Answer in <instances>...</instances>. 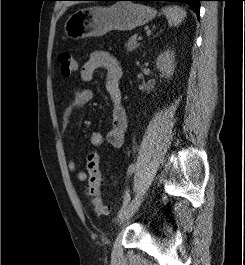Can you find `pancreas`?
<instances>
[{"instance_id": "1", "label": "pancreas", "mask_w": 245, "mask_h": 265, "mask_svg": "<svg viewBox=\"0 0 245 265\" xmlns=\"http://www.w3.org/2000/svg\"><path fill=\"white\" fill-rule=\"evenodd\" d=\"M125 47L127 49V52H131L139 47L136 34L129 38L128 42L125 44Z\"/></svg>"}]
</instances>
